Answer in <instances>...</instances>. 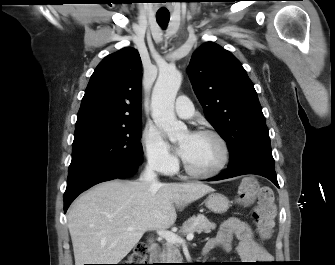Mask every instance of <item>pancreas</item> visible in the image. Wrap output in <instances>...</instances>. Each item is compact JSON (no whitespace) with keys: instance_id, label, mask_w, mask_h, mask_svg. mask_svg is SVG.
<instances>
[{"instance_id":"obj_1","label":"pancreas","mask_w":335,"mask_h":265,"mask_svg":"<svg viewBox=\"0 0 335 265\" xmlns=\"http://www.w3.org/2000/svg\"><path fill=\"white\" fill-rule=\"evenodd\" d=\"M215 228L216 225L210 222L207 217L203 214H198L183 223L181 233L184 235L190 232L210 233ZM161 258L165 263H180L183 260L178 245L169 242L165 244Z\"/></svg>"}]
</instances>
